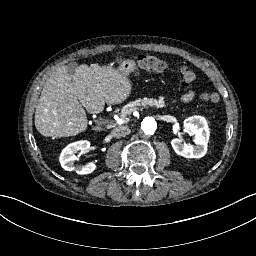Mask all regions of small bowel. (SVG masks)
Segmentation results:
<instances>
[{"label": "small bowel", "instance_id": "obj_1", "mask_svg": "<svg viewBox=\"0 0 256 256\" xmlns=\"http://www.w3.org/2000/svg\"><path fill=\"white\" fill-rule=\"evenodd\" d=\"M194 97H195V91L194 90H188L180 96V100L183 103H189L194 99Z\"/></svg>", "mask_w": 256, "mask_h": 256}]
</instances>
